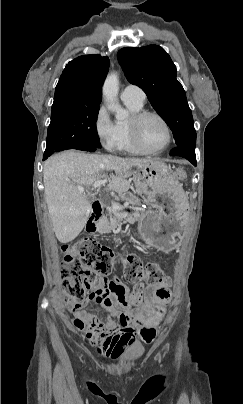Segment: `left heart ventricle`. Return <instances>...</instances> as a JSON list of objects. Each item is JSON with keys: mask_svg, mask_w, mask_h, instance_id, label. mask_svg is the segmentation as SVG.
Wrapping results in <instances>:
<instances>
[{"mask_svg": "<svg viewBox=\"0 0 243 404\" xmlns=\"http://www.w3.org/2000/svg\"><path fill=\"white\" fill-rule=\"evenodd\" d=\"M138 134L141 141L149 148L159 149L168 140V131L161 119L150 115L142 120L138 126Z\"/></svg>", "mask_w": 243, "mask_h": 404, "instance_id": "b2bd125f", "label": "left heart ventricle"}]
</instances>
